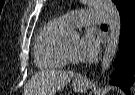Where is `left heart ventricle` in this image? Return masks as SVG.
I'll return each mask as SVG.
<instances>
[{
  "mask_svg": "<svg viewBox=\"0 0 135 95\" xmlns=\"http://www.w3.org/2000/svg\"><path fill=\"white\" fill-rule=\"evenodd\" d=\"M79 38H71L66 40L67 48L70 54L77 59L76 50L78 46Z\"/></svg>",
  "mask_w": 135,
  "mask_h": 95,
  "instance_id": "b2bd125f",
  "label": "left heart ventricle"
}]
</instances>
